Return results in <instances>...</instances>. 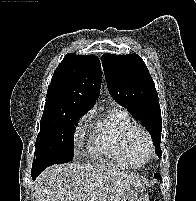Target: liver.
<instances>
[{
	"label": "liver",
	"instance_id": "1",
	"mask_svg": "<svg viewBox=\"0 0 196 201\" xmlns=\"http://www.w3.org/2000/svg\"><path fill=\"white\" fill-rule=\"evenodd\" d=\"M131 173L112 163H67L46 168L35 180L36 201H120L127 188L140 187Z\"/></svg>",
	"mask_w": 196,
	"mask_h": 201
}]
</instances>
